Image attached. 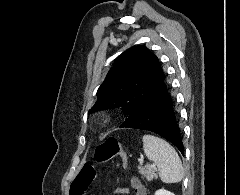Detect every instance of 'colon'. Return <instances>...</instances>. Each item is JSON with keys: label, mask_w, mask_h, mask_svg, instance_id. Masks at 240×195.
<instances>
[{"label": "colon", "mask_w": 240, "mask_h": 195, "mask_svg": "<svg viewBox=\"0 0 240 195\" xmlns=\"http://www.w3.org/2000/svg\"><path fill=\"white\" fill-rule=\"evenodd\" d=\"M118 155L121 160L127 159L125 150H121L120 143L115 138H108L96 149V159L99 162H104ZM87 173L91 176V171L87 169ZM74 195H79L75 192Z\"/></svg>", "instance_id": "1"}]
</instances>
